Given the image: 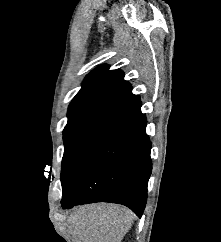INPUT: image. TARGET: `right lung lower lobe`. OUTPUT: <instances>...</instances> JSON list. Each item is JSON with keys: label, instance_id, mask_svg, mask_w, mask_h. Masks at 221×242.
<instances>
[{"label": "right lung lower lobe", "instance_id": "98d812e1", "mask_svg": "<svg viewBox=\"0 0 221 242\" xmlns=\"http://www.w3.org/2000/svg\"><path fill=\"white\" fill-rule=\"evenodd\" d=\"M138 100L97 127L80 145L61 175L63 209L111 202L142 216L152 171L151 142Z\"/></svg>", "mask_w": 221, "mask_h": 242}]
</instances>
